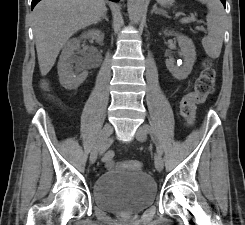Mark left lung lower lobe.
<instances>
[{"instance_id": "left-lung-lower-lobe-1", "label": "left lung lower lobe", "mask_w": 245, "mask_h": 225, "mask_svg": "<svg viewBox=\"0 0 245 225\" xmlns=\"http://www.w3.org/2000/svg\"><path fill=\"white\" fill-rule=\"evenodd\" d=\"M222 3H223V5L225 6V0H220Z\"/></svg>"}]
</instances>
